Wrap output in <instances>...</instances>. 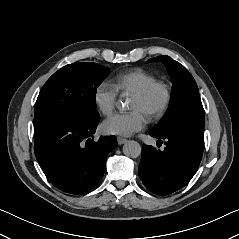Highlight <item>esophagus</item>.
<instances>
[{
  "mask_svg": "<svg viewBox=\"0 0 239 239\" xmlns=\"http://www.w3.org/2000/svg\"><path fill=\"white\" fill-rule=\"evenodd\" d=\"M126 141H127V140H126L125 138H121V137H118V138H117V142H118L119 145L125 143Z\"/></svg>",
  "mask_w": 239,
  "mask_h": 239,
  "instance_id": "1",
  "label": "esophagus"
}]
</instances>
